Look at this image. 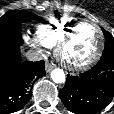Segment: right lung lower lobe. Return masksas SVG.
Listing matches in <instances>:
<instances>
[{"label":"right lung lower lobe","instance_id":"obj_1","mask_svg":"<svg viewBox=\"0 0 114 114\" xmlns=\"http://www.w3.org/2000/svg\"><path fill=\"white\" fill-rule=\"evenodd\" d=\"M44 61L21 62L19 45L0 42V114L22 109L32 94V82L45 75Z\"/></svg>","mask_w":114,"mask_h":114}]
</instances>
